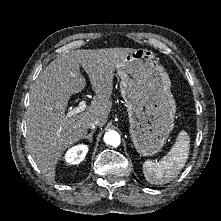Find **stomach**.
<instances>
[{
    "instance_id": "obj_1",
    "label": "stomach",
    "mask_w": 221,
    "mask_h": 221,
    "mask_svg": "<svg viewBox=\"0 0 221 221\" xmlns=\"http://www.w3.org/2000/svg\"><path fill=\"white\" fill-rule=\"evenodd\" d=\"M116 69L134 147L143 156H154L174 127L176 105L168 73L151 50L141 48L129 53Z\"/></svg>"
}]
</instances>
